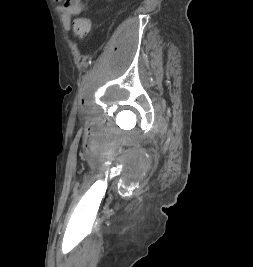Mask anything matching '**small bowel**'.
<instances>
[{
    "instance_id": "obj_1",
    "label": "small bowel",
    "mask_w": 253,
    "mask_h": 267,
    "mask_svg": "<svg viewBox=\"0 0 253 267\" xmlns=\"http://www.w3.org/2000/svg\"><path fill=\"white\" fill-rule=\"evenodd\" d=\"M60 3L58 11L65 29H70L73 18L79 15L84 9L83 0H54Z\"/></svg>"
}]
</instances>
